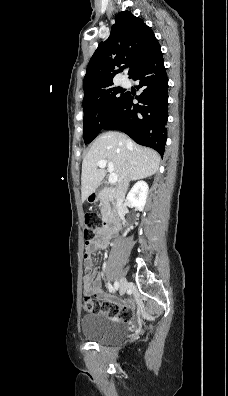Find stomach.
Segmentation results:
<instances>
[{"mask_svg": "<svg viewBox=\"0 0 228 396\" xmlns=\"http://www.w3.org/2000/svg\"><path fill=\"white\" fill-rule=\"evenodd\" d=\"M91 196H93L92 201H93V200H96V199L98 198V196H97L96 194H94V195L91 194L88 198H90Z\"/></svg>", "mask_w": 228, "mask_h": 396, "instance_id": "0dacf381", "label": "stomach"}]
</instances>
